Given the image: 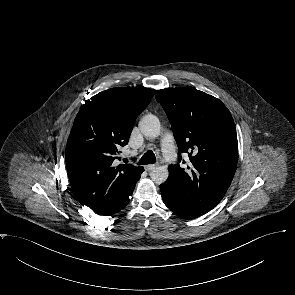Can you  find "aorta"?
<instances>
[{
  "label": "aorta",
  "instance_id": "obj_1",
  "mask_svg": "<svg viewBox=\"0 0 295 295\" xmlns=\"http://www.w3.org/2000/svg\"><path fill=\"white\" fill-rule=\"evenodd\" d=\"M139 129L142 134L149 138H156L161 131L159 119L153 115H145L139 122ZM169 176V171L166 166L158 165L154 167L150 173L152 181L158 185L164 183Z\"/></svg>",
  "mask_w": 295,
  "mask_h": 295
}]
</instances>
